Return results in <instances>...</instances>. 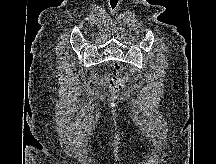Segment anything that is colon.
<instances>
[{
    "label": "colon",
    "instance_id": "colon-1",
    "mask_svg": "<svg viewBox=\"0 0 216 164\" xmlns=\"http://www.w3.org/2000/svg\"><path fill=\"white\" fill-rule=\"evenodd\" d=\"M114 70L117 73L118 77L113 78L110 81V85L114 91H119L126 85L127 77L123 75V67L120 63L116 62L114 64Z\"/></svg>",
    "mask_w": 216,
    "mask_h": 164
}]
</instances>
